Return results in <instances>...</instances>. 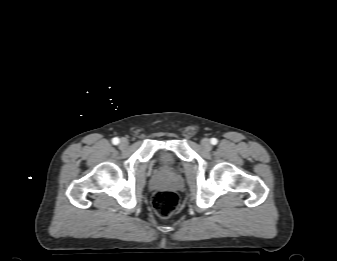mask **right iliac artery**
Masks as SVG:
<instances>
[{
	"label": "right iliac artery",
	"mask_w": 337,
	"mask_h": 261,
	"mask_svg": "<svg viewBox=\"0 0 337 261\" xmlns=\"http://www.w3.org/2000/svg\"><path fill=\"white\" fill-rule=\"evenodd\" d=\"M112 143H113L114 145H117V144L119 143V138H117V137L113 138V139H112Z\"/></svg>",
	"instance_id": "right-iliac-artery-1"
}]
</instances>
